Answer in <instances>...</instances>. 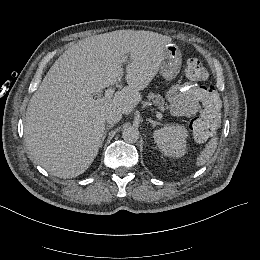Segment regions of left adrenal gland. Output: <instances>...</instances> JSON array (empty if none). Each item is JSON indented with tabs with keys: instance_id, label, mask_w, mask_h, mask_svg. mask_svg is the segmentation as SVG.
<instances>
[{
	"instance_id": "obj_1",
	"label": "left adrenal gland",
	"mask_w": 260,
	"mask_h": 260,
	"mask_svg": "<svg viewBox=\"0 0 260 260\" xmlns=\"http://www.w3.org/2000/svg\"><path fill=\"white\" fill-rule=\"evenodd\" d=\"M147 121L152 124L153 128H155L156 126H164L162 123L154 121L152 119H147Z\"/></svg>"
}]
</instances>
